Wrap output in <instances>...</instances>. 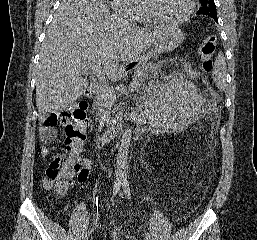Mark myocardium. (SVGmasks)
I'll list each match as a JSON object with an SVG mask.
<instances>
[{
    "mask_svg": "<svg viewBox=\"0 0 257 240\" xmlns=\"http://www.w3.org/2000/svg\"><path fill=\"white\" fill-rule=\"evenodd\" d=\"M146 8L148 11L149 16L158 24L164 25H179L192 15L195 9V0H188V6L185 12L176 18H165L158 14L153 6V0H145Z\"/></svg>",
    "mask_w": 257,
    "mask_h": 240,
    "instance_id": "obj_1",
    "label": "myocardium"
}]
</instances>
